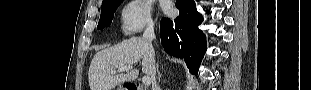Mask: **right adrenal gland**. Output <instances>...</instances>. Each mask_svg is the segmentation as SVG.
<instances>
[{
	"instance_id": "1",
	"label": "right adrenal gland",
	"mask_w": 311,
	"mask_h": 90,
	"mask_svg": "<svg viewBox=\"0 0 311 90\" xmlns=\"http://www.w3.org/2000/svg\"><path fill=\"white\" fill-rule=\"evenodd\" d=\"M157 70H158V67H157ZM160 78H161V73L158 71V80L160 81Z\"/></svg>"
}]
</instances>
